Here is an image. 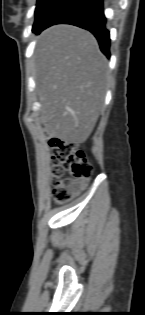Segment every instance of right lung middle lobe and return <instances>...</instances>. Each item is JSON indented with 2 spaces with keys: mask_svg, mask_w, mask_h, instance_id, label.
I'll return each mask as SVG.
<instances>
[{
  "mask_svg": "<svg viewBox=\"0 0 145 315\" xmlns=\"http://www.w3.org/2000/svg\"><path fill=\"white\" fill-rule=\"evenodd\" d=\"M66 0H37L35 22L32 31L38 33L49 18L62 6Z\"/></svg>",
  "mask_w": 145,
  "mask_h": 315,
  "instance_id": "obj_1",
  "label": "right lung middle lobe"
}]
</instances>
